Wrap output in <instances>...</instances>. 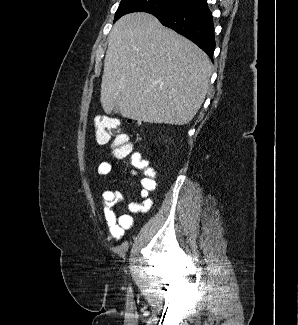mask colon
<instances>
[{
  "mask_svg": "<svg viewBox=\"0 0 298 325\" xmlns=\"http://www.w3.org/2000/svg\"><path fill=\"white\" fill-rule=\"evenodd\" d=\"M121 127V121L117 118L105 114L96 116L94 120L96 141L99 144H106L111 141L113 135H116L112 144L115 156L117 158L130 157L134 170L146 171L151 167L150 164L139 153L132 151L127 136L120 133Z\"/></svg>",
  "mask_w": 298,
  "mask_h": 325,
  "instance_id": "obj_1",
  "label": "colon"
}]
</instances>
